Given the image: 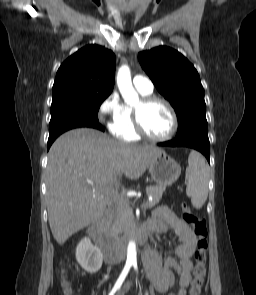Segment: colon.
I'll use <instances>...</instances> for the list:
<instances>
[{
    "label": "colon",
    "mask_w": 256,
    "mask_h": 295,
    "mask_svg": "<svg viewBox=\"0 0 256 295\" xmlns=\"http://www.w3.org/2000/svg\"><path fill=\"white\" fill-rule=\"evenodd\" d=\"M180 209L183 221L193 226L194 235L196 237L195 251L193 254V280L189 295H201L206 276V250L208 247L206 220L203 217L194 214L185 203H181ZM63 286L65 292L70 294L71 286L67 279L63 280Z\"/></svg>",
    "instance_id": "1"
}]
</instances>
